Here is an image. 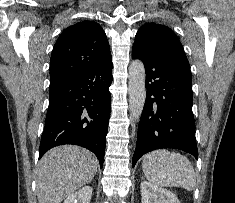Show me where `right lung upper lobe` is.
Wrapping results in <instances>:
<instances>
[{"instance_id": "1", "label": "right lung upper lobe", "mask_w": 235, "mask_h": 203, "mask_svg": "<svg viewBox=\"0 0 235 203\" xmlns=\"http://www.w3.org/2000/svg\"><path fill=\"white\" fill-rule=\"evenodd\" d=\"M111 59L102 27L83 21L66 28L56 41L50 60V87L63 84Z\"/></svg>"}]
</instances>
